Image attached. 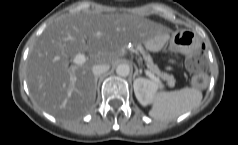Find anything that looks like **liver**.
Segmentation results:
<instances>
[{
  "label": "liver",
  "instance_id": "6515ba94",
  "mask_svg": "<svg viewBox=\"0 0 238 145\" xmlns=\"http://www.w3.org/2000/svg\"><path fill=\"white\" fill-rule=\"evenodd\" d=\"M166 30L161 24L126 13L73 12L54 20L30 50L27 84L32 98L60 119L86 114L96 99L92 68L113 65L128 43L138 45ZM90 52L82 65L76 55Z\"/></svg>",
  "mask_w": 238,
  "mask_h": 145
}]
</instances>
